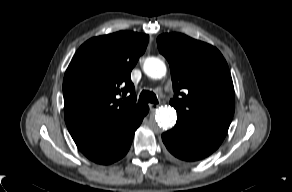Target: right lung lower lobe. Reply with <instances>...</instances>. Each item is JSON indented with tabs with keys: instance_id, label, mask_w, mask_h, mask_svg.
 Here are the masks:
<instances>
[{
	"instance_id": "1",
	"label": "right lung lower lobe",
	"mask_w": 292,
	"mask_h": 192,
	"mask_svg": "<svg viewBox=\"0 0 292 192\" xmlns=\"http://www.w3.org/2000/svg\"><path fill=\"white\" fill-rule=\"evenodd\" d=\"M148 106L136 116L111 127L94 130H74L70 134L78 149L90 160L111 164L129 150L136 129L148 113Z\"/></svg>"
}]
</instances>
